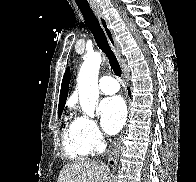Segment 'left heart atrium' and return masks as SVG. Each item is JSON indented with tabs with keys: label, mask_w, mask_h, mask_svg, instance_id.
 <instances>
[{
	"label": "left heart atrium",
	"mask_w": 196,
	"mask_h": 182,
	"mask_svg": "<svg viewBox=\"0 0 196 182\" xmlns=\"http://www.w3.org/2000/svg\"><path fill=\"white\" fill-rule=\"evenodd\" d=\"M99 113L103 129L108 134H115L126 119L125 103L119 96L104 98L99 105Z\"/></svg>",
	"instance_id": "obj_1"
}]
</instances>
